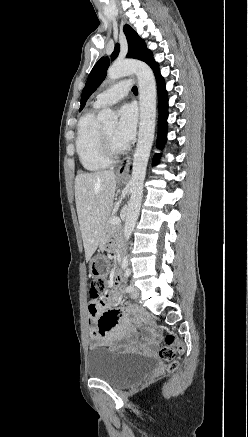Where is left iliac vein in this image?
<instances>
[{"mask_svg": "<svg viewBox=\"0 0 248 437\" xmlns=\"http://www.w3.org/2000/svg\"><path fill=\"white\" fill-rule=\"evenodd\" d=\"M132 286V291H131V293H130V296L133 298V299H137V298H139V296H140V291H139V289L136 287V286H134V285H131Z\"/></svg>", "mask_w": 248, "mask_h": 437, "instance_id": "4c4485c4", "label": "left iliac vein"}]
</instances>
